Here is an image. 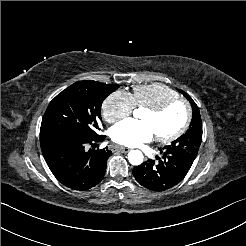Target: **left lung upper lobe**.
<instances>
[{"label": "left lung upper lobe", "instance_id": "1", "mask_svg": "<svg viewBox=\"0 0 246 246\" xmlns=\"http://www.w3.org/2000/svg\"><path fill=\"white\" fill-rule=\"evenodd\" d=\"M191 103L193 115L190 127L185 134L174 140L170 145L165 146L164 149L180 150L189 153L193 158L196 157L202 141V120L199 108L193 99L184 91L179 90Z\"/></svg>", "mask_w": 246, "mask_h": 246}]
</instances>
